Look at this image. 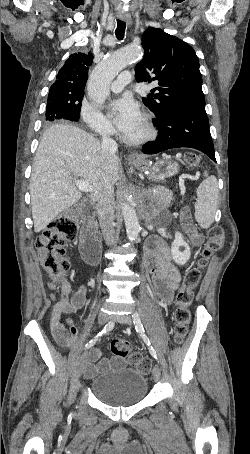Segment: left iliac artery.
<instances>
[{"instance_id":"left-iliac-artery-1","label":"left iliac artery","mask_w":250,"mask_h":454,"mask_svg":"<svg viewBox=\"0 0 250 454\" xmlns=\"http://www.w3.org/2000/svg\"><path fill=\"white\" fill-rule=\"evenodd\" d=\"M132 318H133V322H134V325H135V329L137 331V333L143 338L144 342L147 344L148 348H149V351H150V354L156 359L158 360V357H157V353L155 351V349L153 348V346L151 345V342L149 340V338L147 337V335L145 334V330H144V327L142 325V322H141V318H140V315L137 311H135L133 314H132ZM159 362V361H158Z\"/></svg>"}]
</instances>
